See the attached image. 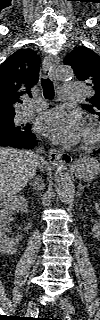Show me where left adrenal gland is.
Masks as SVG:
<instances>
[{"instance_id": "a2214340", "label": "left adrenal gland", "mask_w": 100, "mask_h": 320, "mask_svg": "<svg viewBox=\"0 0 100 320\" xmlns=\"http://www.w3.org/2000/svg\"><path fill=\"white\" fill-rule=\"evenodd\" d=\"M87 186H83L81 183H79L78 185V194L80 193V191L84 188H86Z\"/></svg>"}]
</instances>
